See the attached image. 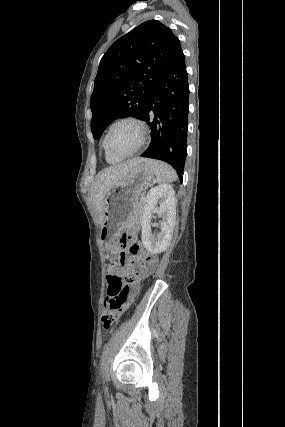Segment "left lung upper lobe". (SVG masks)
<instances>
[{"label":"left lung upper lobe","mask_w":285,"mask_h":427,"mask_svg":"<svg viewBox=\"0 0 285 427\" xmlns=\"http://www.w3.org/2000/svg\"><path fill=\"white\" fill-rule=\"evenodd\" d=\"M181 51L179 39L157 20L140 24L110 46L100 61L90 100L95 139L115 119L142 117Z\"/></svg>","instance_id":"left-lung-upper-lobe-1"}]
</instances>
